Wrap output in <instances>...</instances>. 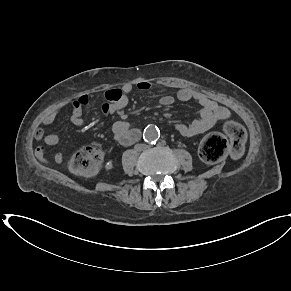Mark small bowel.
<instances>
[{
    "instance_id": "small-bowel-1",
    "label": "small bowel",
    "mask_w": 291,
    "mask_h": 291,
    "mask_svg": "<svg viewBox=\"0 0 291 291\" xmlns=\"http://www.w3.org/2000/svg\"><path fill=\"white\" fill-rule=\"evenodd\" d=\"M139 89L148 90L151 88L150 82L145 78H139L135 84ZM133 84L124 83L119 87L108 89L104 94V102L102 104V112L105 116H112L123 110L129 102V96L133 90ZM177 98L180 101H195L201 107L200 117L193 120L191 123H178L176 130L183 136H195L202 134L212 128L218 121L225 120L229 117L230 112L226 107L219 105L213 99L209 98L202 92L196 91L192 88H182L177 92ZM89 102L88 95H82L72 100L71 106V122L82 127L86 124L83 110ZM163 106H170L174 103V97L171 95H163L160 100ZM67 105H60L52 109L43 118L41 126L35 130L34 136L37 140H44L46 145L54 147L60 143V139L56 134H44L43 127L51 125ZM112 132L115 139L124 146L131 145L140 137V130L131 128L130 125L123 120L114 123ZM45 154L44 147L36 149V156L43 160ZM65 156L61 152H57L54 156L56 163L60 164L64 161Z\"/></svg>"
}]
</instances>
